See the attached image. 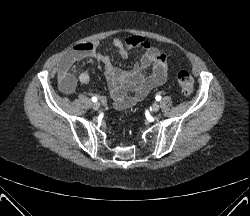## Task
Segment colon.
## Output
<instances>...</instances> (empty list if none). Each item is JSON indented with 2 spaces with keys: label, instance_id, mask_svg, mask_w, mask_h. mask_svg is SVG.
<instances>
[{
  "label": "colon",
  "instance_id": "obj_1",
  "mask_svg": "<svg viewBox=\"0 0 250 216\" xmlns=\"http://www.w3.org/2000/svg\"><path fill=\"white\" fill-rule=\"evenodd\" d=\"M177 81L181 88L182 93L185 96H189L192 94L194 88V81L191 75L187 71L178 72Z\"/></svg>",
  "mask_w": 250,
  "mask_h": 216
}]
</instances>
